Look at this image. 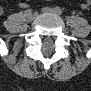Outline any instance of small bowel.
Returning <instances> with one entry per match:
<instances>
[{
	"label": "small bowel",
	"mask_w": 91,
	"mask_h": 91,
	"mask_svg": "<svg viewBox=\"0 0 91 91\" xmlns=\"http://www.w3.org/2000/svg\"><path fill=\"white\" fill-rule=\"evenodd\" d=\"M88 5H89V4H88L87 2H85V3L82 4V8L85 9V8L88 7Z\"/></svg>",
	"instance_id": "1"
}]
</instances>
